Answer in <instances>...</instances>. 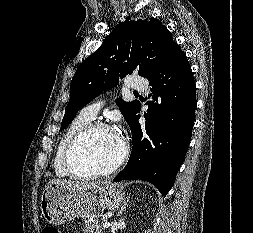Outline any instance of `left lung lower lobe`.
Here are the masks:
<instances>
[{"label": "left lung lower lobe", "instance_id": "obj_1", "mask_svg": "<svg viewBox=\"0 0 253 233\" xmlns=\"http://www.w3.org/2000/svg\"><path fill=\"white\" fill-rule=\"evenodd\" d=\"M151 94L145 125L138 104L129 124L133 148L125 168L113 179L145 180L165 196L183 163L194 125L196 85L186 54L176 43L157 71L147 77Z\"/></svg>", "mask_w": 253, "mask_h": 233}]
</instances>
